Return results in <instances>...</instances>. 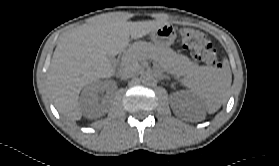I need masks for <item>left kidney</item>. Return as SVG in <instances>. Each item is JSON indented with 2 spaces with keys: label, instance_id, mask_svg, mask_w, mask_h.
Masks as SVG:
<instances>
[{
  "label": "left kidney",
  "instance_id": "obj_1",
  "mask_svg": "<svg viewBox=\"0 0 279 166\" xmlns=\"http://www.w3.org/2000/svg\"><path fill=\"white\" fill-rule=\"evenodd\" d=\"M177 101L176 107L179 111H183L186 108H199V99L193 93L181 91L174 94Z\"/></svg>",
  "mask_w": 279,
  "mask_h": 166
}]
</instances>
